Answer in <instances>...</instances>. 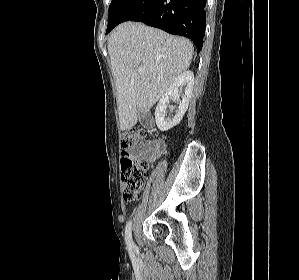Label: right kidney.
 <instances>
[{
  "label": "right kidney",
  "instance_id": "ca27d5eb",
  "mask_svg": "<svg viewBox=\"0 0 299 280\" xmlns=\"http://www.w3.org/2000/svg\"><path fill=\"white\" fill-rule=\"evenodd\" d=\"M182 86H185L184 93H182L180 89ZM193 86L194 74L192 71L188 70L179 75L163 94L155 110L156 125L161 131H167L181 122L188 109L189 100L193 92ZM170 99H174L175 102L179 103L178 110L172 119L166 117V108Z\"/></svg>",
  "mask_w": 299,
  "mask_h": 280
}]
</instances>
